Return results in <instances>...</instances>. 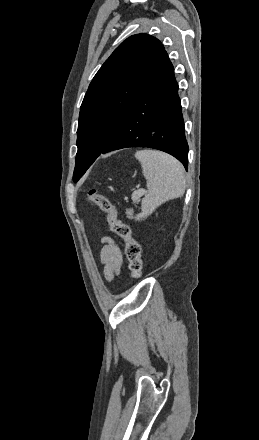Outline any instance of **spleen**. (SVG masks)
<instances>
[{
  "mask_svg": "<svg viewBox=\"0 0 259 440\" xmlns=\"http://www.w3.org/2000/svg\"><path fill=\"white\" fill-rule=\"evenodd\" d=\"M135 157L141 163L147 180L148 194L142 199V212L135 217L136 220H142L164 202L182 197L186 182L182 164L166 153L140 150L135 153Z\"/></svg>",
  "mask_w": 259,
  "mask_h": 440,
  "instance_id": "1",
  "label": "spleen"
}]
</instances>
